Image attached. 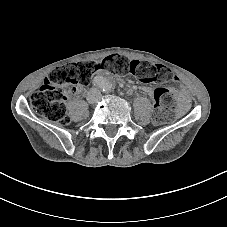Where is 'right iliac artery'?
Here are the masks:
<instances>
[{"label":"right iliac artery","instance_id":"82829eb1","mask_svg":"<svg viewBox=\"0 0 227 227\" xmlns=\"http://www.w3.org/2000/svg\"><path fill=\"white\" fill-rule=\"evenodd\" d=\"M96 85L103 86V81L101 83L100 82H96Z\"/></svg>","mask_w":227,"mask_h":227}]
</instances>
